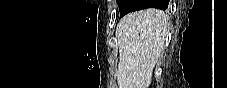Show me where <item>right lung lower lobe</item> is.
Masks as SVG:
<instances>
[{"mask_svg": "<svg viewBox=\"0 0 227 88\" xmlns=\"http://www.w3.org/2000/svg\"><path fill=\"white\" fill-rule=\"evenodd\" d=\"M168 4L169 0H131L126 8L120 13V16L123 17L129 12L144 8H159L166 10Z\"/></svg>", "mask_w": 227, "mask_h": 88, "instance_id": "right-lung-lower-lobe-1", "label": "right lung lower lobe"}]
</instances>
